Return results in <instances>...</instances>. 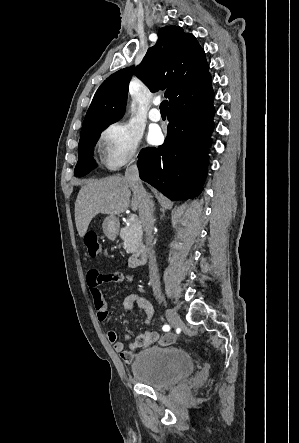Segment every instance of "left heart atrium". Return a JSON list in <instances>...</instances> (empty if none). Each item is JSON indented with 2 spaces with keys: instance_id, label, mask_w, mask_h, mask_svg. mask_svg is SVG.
Returning <instances> with one entry per match:
<instances>
[{
  "instance_id": "1",
  "label": "left heart atrium",
  "mask_w": 299,
  "mask_h": 443,
  "mask_svg": "<svg viewBox=\"0 0 299 443\" xmlns=\"http://www.w3.org/2000/svg\"><path fill=\"white\" fill-rule=\"evenodd\" d=\"M160 138H161V133L158 128H152L147 136L148 143L150 144H155L159 142Z\"/></svg>"
}]
</instances>
